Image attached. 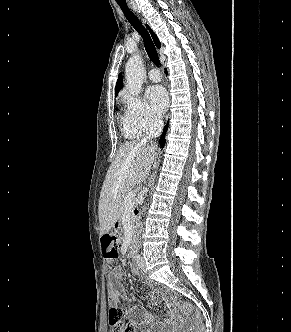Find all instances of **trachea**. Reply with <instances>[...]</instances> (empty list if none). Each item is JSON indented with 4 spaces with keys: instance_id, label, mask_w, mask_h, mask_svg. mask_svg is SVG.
<instances>
[{
    "instance_id": "obj_1",
    "label": "trachea",
    "mask_w": 291,
    "mask_h": 332,
    "mask_svg": "<svg viewBox=\"0 0 291 332\" xmlns=\"http://www.w3.org/2000/svg\"><path fill=\"white\" fill-rule=\"evenodd\" d=\"M121 10L123 11L125 17L127 20L131 23V25L135 28L136 31L139 32V34L142 36L144 41V46L146 49V52L150 58V60L155 65H160L159 56L156 50V47L148 33V31L144 28V26L141 24L139 19L130 11L126 3H118Z\"/></svg>"
}]
</instances>
